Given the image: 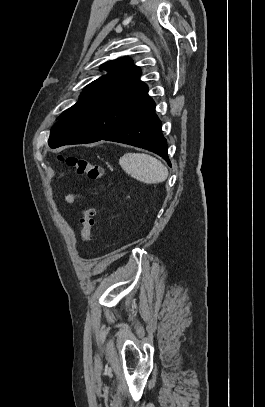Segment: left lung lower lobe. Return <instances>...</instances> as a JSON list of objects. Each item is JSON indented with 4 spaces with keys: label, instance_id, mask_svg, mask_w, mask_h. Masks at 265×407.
Returning <instances> with one entry per match:
<instances>
[{
    "label": "left lung lower lobe",
    "instance_id": "1",
    "mask_svg": "<svg viewBox=\"0 0 265 407\" xmlns=\"http://www.w3.org/2000/svg\"><path fill=\"white\" fill-rule=\"evenodd\" d=\"M103 140L147 149L160 155L171 165L167 154V141L162 135L161 122L155 114V106L103 138Z\"/></svg>",
    "mask_w": 265,
    "mask_h": 407
}]
</instances>
